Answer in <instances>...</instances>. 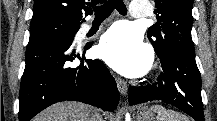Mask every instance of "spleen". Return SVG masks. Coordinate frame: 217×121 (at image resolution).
Segmentation results:
<instances>
[{"label":"spleen","instance_id":"spleen-1","mask_svg":"<svg viewBox=\"0 0 217 121\" xmlns=\"http://www.w3.org/2000/svg\"><path fill=\"white\" fill-rule=\"evenodd\" d=\"M151 109L157 113L158 121H188V119L181 113L172 110H166L161 105L152 106Z\"/></svg>","mask_w":217,"mask_h":121}]
</instances>
